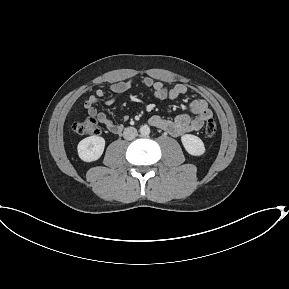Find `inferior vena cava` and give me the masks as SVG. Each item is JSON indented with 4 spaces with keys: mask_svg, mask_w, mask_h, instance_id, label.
Masks as SVG:
<instances>
[{
    "mask_svg": "<svg viewBox=\"0 0 289 289\" xmlns=\"http://www.w3.org/2000/svg\"><path fill=\"white\" fill-rule=\"evenodd\" d=\"M137 136V130L134 127H127L123 131V137L126 140H133Z\"/></svg>",
    "mask_w": 289,
    "mask_h": 289,
    "instance_id": "obj_1",
    "label": "inferior vena cava"
}]
</instances>
